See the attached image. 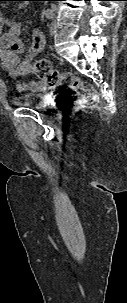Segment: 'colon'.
<instances>
[{
	"mask_svg": "<svg viewBox=\"0 0 127 303\" xmlns=\"http://www.w3.org/2000/svg\"><path fill=\"white\" fill-rule=\"evenodd\" d=\"M36 75L46 80L51 87L67 89L59 97L60 104L68 109L76 105L89 107L94 106L98 96L93 86L80 80L71 72L54 69L46 58H37L34 61Z\"/></svg>",
	"mask_w": 127,
	"mask_h": 303,
	"instance_id": "obj_1",
	"label": "colon"
}]
</instances>
